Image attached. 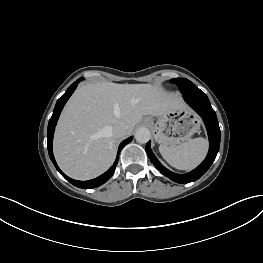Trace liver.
Listing matches in <instances>:
<instances>
[{"instance_id": "6515ba94", "label": "liver", "mask_w": 263, "mask_h": 263, "mask_svg": "<svg viewBox=\"0 0 263 263\" xmlns=\"http://www.w3.org/2000/svg\"><path fill=\"white\" fill-rule=\"evenodd\" d=\"M177 94L150 84L112 82L81 85L67 102L54 136V155L61 170L89 180L113 163L117 139L112 127L122 122L130 135L143 116H162L183 107Z\"/></svg>"}]
</instances>
